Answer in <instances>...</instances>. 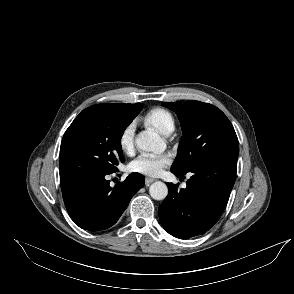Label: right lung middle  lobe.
I'll return each mask as SVG.
<instances>
[{
	"instance_id": "1",
	"label": "right lung middle lobe",
	"mask_w": 294,
	"mask_h": 294,
	"mask_svg": "<svg viewBox=\"0 0 294 294\" xmlns=\"http://www.w3.org/2000/svg\"><path fill=\"white\" fill-rule=\"evenodd\" d=\"M142 104L104 103L83 110L66 130L60 148V178L113 173L124 162L121 137Z\"/></svg>"
}]
</instances>
